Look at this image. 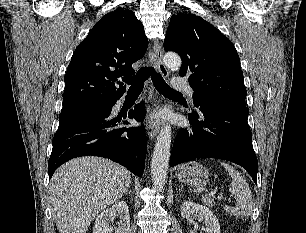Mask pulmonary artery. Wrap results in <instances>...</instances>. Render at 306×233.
Masks as SVG:
<instances>
[{"instance_id":"obj_1","label":"pulmonary artery","mask_w":306,"mask_h":233,"mask_svg":"<svg viewBox=\"0 0 306 233\" xmlns=\"http://www.w3.org/2000/svg\"><path fill=\"white\" fill-rule=\"evenodd\" d=\"M172 83L174 90L182 91L187 93L189 96H193L194 90L187 84L184 79L175 78Z\"/></svg>"}]
</instances>
